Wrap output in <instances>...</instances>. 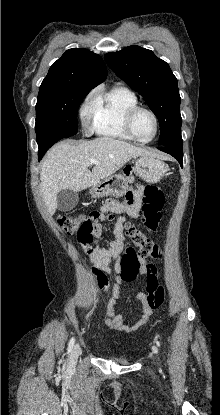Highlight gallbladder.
I'll list each match as a JSON object with an SVG mask.
<instances>
[{"instance_id": "obj_1", "label": "gallbladder", "mask_w": 220, "mask_h": 415, "mask_svg": "<svg viewBox=\"0 0 220 415\" xmlns=\"http://www.w3.org/2000/svg\"><path fill=\"white\" fill-rule=\"evenodd\" d=\"M79 201L77 192L66 189L57 194V209L63 212L72 210Z\"/></svg>"}]
</instances>
